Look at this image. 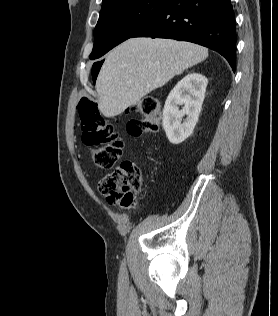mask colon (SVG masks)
Listing matches in <instances>:
<instances>
[{
  "label": "colon",
  "mask_w": 278,
  "mask_h": 316,
  "mask_svg": "<svg viewBox=\"0 0 278 316\" xmlns=\"http://www.w3.org/2000/svg\"><path fill=\"white\" fill-rule=\"evenodd\" d=\"M78 111L84 144L94 147L92 154L96 166L109 171L99 183L100 193L111 204L124 209L134 208L142 191L140 168L131 162L118 164L123 142L114 124L99 113L93 101L81 100ZM135 112L141 117L128 122L129 134L141 136L158 130L160 101L156 97H145L135 108Z\"/></svg>",
  "instance_id": "obj_1"
}]
</instances>
